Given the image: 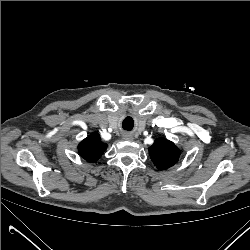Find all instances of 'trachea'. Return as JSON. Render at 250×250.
<instances>
[{
  "instance_id": "3493384b",
  "label": "trachea",
  "mask_w": 250,
  "mask_h": 250,
  "mask_svg": "<svg viewBox=\"0 0 250 250\" xmlns=\"http://www.w3.org/2000/svg\"><path fill=\"white\" fill-rule=\"evenodd\" d=\"M131 118H126L125 120H124V122H123V127H124V123L126 122V121H129ZM125 128V127H124ZM133 128V120H132V124H131V127H129V128H125L126 130H131Z\"/></svg>"
}]
</instances>
